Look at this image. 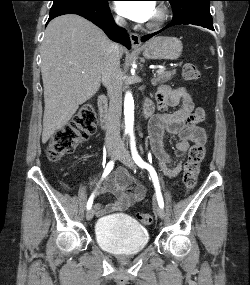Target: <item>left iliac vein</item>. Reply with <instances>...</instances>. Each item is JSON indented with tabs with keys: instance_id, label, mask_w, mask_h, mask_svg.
<instances>
[{
	"instance_id": "obj_1",
	"label": "left iliac vein",
	"mask_w": 250,
	"mask_h": 285,
	"mask_svg": "<svg viewBox=\"0 0 250 285\" xmlns=\"http://www.w3.org/2000/svg\"><path fill=\"white\" fill-rule=\"evenodd\" d=\"M117 159L119 161H121L124 165L129 167L130 169L136 168V165H135L133 158L131 157L130 153L124 148L118 150ZM156 213L159 216V218H161V219H163L165 217L164 209L160 206H157Z\"/></svg>"
}]
</instances>
